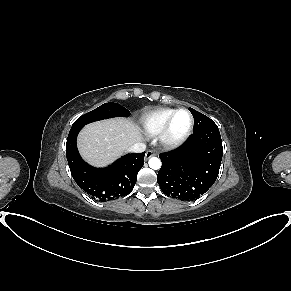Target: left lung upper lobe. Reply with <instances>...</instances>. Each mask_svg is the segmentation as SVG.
<instances>
[{
	"mask_svg": "<svg viewBox=\"0 0 291 291\" xmlns=\"http://www.w3.org/2000/svg\"><path fill=\"white\" fill-rule=\"evenodd\" d=\"M189 111L192 113L194 117V129L193 133L200 132L209 127H217V125L207 116L203 115L202 113L189 108Z\"/></svg>",
	"mask_w": 291,
	"mask_h": 291,
	"instance_id": "left-lung-upper-lobe-1",
	"label": "left lung upper lobe"
}]
</instances>
